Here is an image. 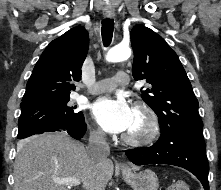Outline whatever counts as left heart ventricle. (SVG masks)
<instances>
[{"mask_svg": "<svg viewBox=\"0 0 221 190\" xmlns=\"http://www.w3.org/2000/svg\"><path fill=\"white\" fill-rule=\"evenodd\" d=\"M145 126V120L143 116L136 111H134V117L130 128L126 131L128 134L132 135H140Z\"/></svg>", "mask_w": 221, "mask_h": 190, "instance_id": "b2bd125f", "label": "left heart ventricle"}]
</instances>
